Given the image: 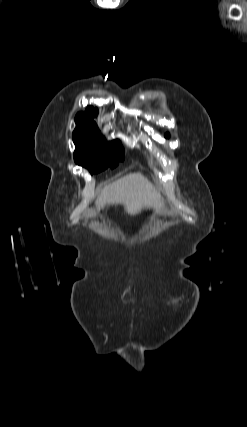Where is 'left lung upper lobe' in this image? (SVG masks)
<instances>
[{
  "label": "left lung upper lobe",
  "mask_w": 247,
  "mask_h": 427,
  "mask_svg": "<svg viewBox=\"0 0 247 427\" xmlns=\"http://www.w3.org/2000/svg\"><path fill=\"white\" fill-rule=\"evenodd\" d=\"M165 137H166V138H169V134L167 133V134L165 135Z\"/></svg>",
  "instance_id": "obj_1"
}]
</instances>
